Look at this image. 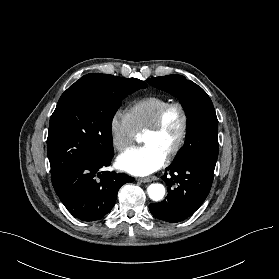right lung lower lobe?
<instances>
[{
    "instance_id": "1",
    "label": "right lung lower lobe",
    "mask_w": 279,
    "mask_h": 279,
    "mask_svg": "<svg viewBox=\"0 0 279 279\" xmlns=\"http://www.w3.org/2000/svg\"><path fill=\"white\" fill-rule=\"evenodd\" d=\"M113 155L84 161L52 180L62 203L79 220L91 222L103 218L114 206L120 187L134 181L126 174L100 172L110 165Z\"/></svg>"
}]
</instances>
